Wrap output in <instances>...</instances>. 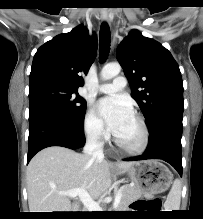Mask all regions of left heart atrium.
I'll return each mask as SVG.
<instances>
[{"label": "left heart atrium", "instance_id": "obj_1", "mask_svg": "<svg viewBox=\"0 0 203 219\" xmlns=\"http://www.w3.org/2000/svg\"><path fill=\"white\" fill-rule=\"evenodd\" d=\"M97 109L109 129L115 134L133 115L130 103L123 97L111 96L98 101Z\"/></svg>", "mask_w": 203, "mask_h": 219}]
</instances>
